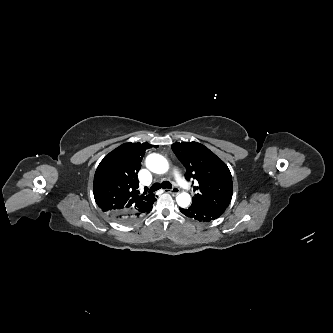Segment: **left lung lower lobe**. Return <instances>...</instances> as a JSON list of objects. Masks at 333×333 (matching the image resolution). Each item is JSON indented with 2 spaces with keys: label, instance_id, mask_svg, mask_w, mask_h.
I'll use <instances>...</instances> for the list:
<instances>
[{
  "label": "left lung lower lobe",
  "instance_id": "0a47b994",
  "mask_svg": "<svg viewBox=\"0 0 333 333\" xmlns=\"http://www.w3.org/2000/svg\"><path fill=\"white\" fill-rule=\"evenodd\" d=\"M180 211L189 218H193L202 222H209L220 217L225 209L217 207H208L200 203H193L185 208H180Z\"/></svg>",
  "mask_w": 333,
  "mask_h": 333
}]
</instances>
